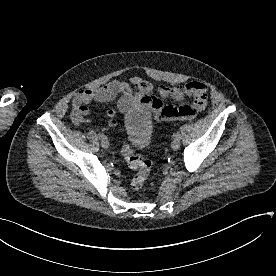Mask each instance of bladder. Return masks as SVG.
Segmentation results:
<instances>
[{
    "label": "bladder",
    "mask_w": 276,
    "mask_h": 276,
    "mask_svg": "<svg viewBox=\"0 0 276 276\" xmlns=\"http://www.w3.org/2000/svg\"><path fill=\"white\" fill-rule=\"evenodd\" d=\"M124 130L128 141L136 148L146 147L151 140L153 122L148 110H134L125 115Z\"/></svg>",
    "instance_id": "31cf9c89"
}]
</instances>
